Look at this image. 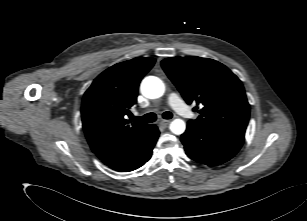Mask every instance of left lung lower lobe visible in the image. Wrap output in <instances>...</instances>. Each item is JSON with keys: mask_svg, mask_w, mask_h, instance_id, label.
<instances>
[{"mask_svg": "<svg viewBox=\"0 0 307 221\" xmlns=\"http://www.w3.org/2000/svg\"><path fill=\"white\" fill-rule=\"evenodd\" d=\"M181 141L191 159L208 166H217L236 155L243 145L244 135L188 122Z\"/></svg>", "mask_w": 307, "mask_h": 221, "instance_id": "0a47b994", "label": "left lung lower lobe"}]
</instances>
